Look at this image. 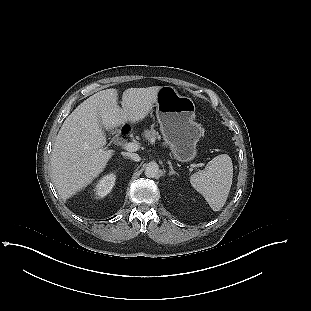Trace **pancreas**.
Masks as SVG:
<instances>
[{"instance_id": "cf45deb5", "label": "pancreas", "mask_w": 311, "mask_h": 311, "mask_svg": "<svg viewBox=\"0 0 311 311\" xmlns=\"http://www.w3.org/2000/svg\"><path fill=\"white\" fill-rule=\"evenodd\" d=\"M144 137L146 138V139H148V140H150V139H155V138H158V139H160V135H159V133L156 131V130H154V129H151V130H146L145 132H144Z\"/></svg>"}]
</instances>
